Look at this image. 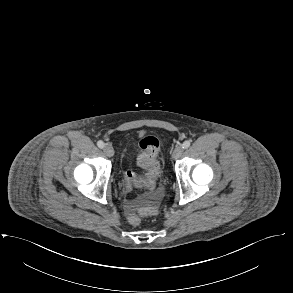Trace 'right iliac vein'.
Masks as SVG:
<instances>
[{"instance_id": "obj_1", "label": "right iliac vein", "mask_w": 293, "mask_h": 293, "mask_svg": "<svg viewBox=\"0 0 293 293\" xmlns=\"http://www.w3.org/2000/svg\"><path fill=\"white\" fill-rule=\"evenodd\" d=\"M103 152L108 157H112L114 155V149L110 145L104 146Z\"/></svg>"}]
</instances>
